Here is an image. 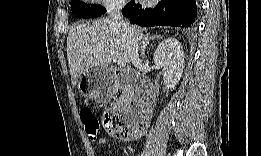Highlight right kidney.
<instances>
[{"instance_id":"right-kidney-1","label":"right kidney","mask_w":261,"mask_h":156,"mask_svg":"<svg viewBox=\"0 0 261 156\" xmlns=\"http://www.w3.org/2000/svg\"><path fill=\"white\" fill-rule=\"evenodd\" d=\"M153 60L165 70L163 81L167 90H172L179 83L184 69V51L174 38L164 39L157 47Z\"/></svg>"}]
</instances>
